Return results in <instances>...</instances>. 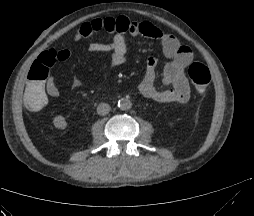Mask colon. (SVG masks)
I'll return each instance as SVG.
<instances>
[{
    "label": "colon",
    "mask_w": 254,
    "mask_h": 216,
    "mask_svg": "<svg viewBox=\"0 0 254 216\" xmlns=\"http://www.w3.org/2000/svg\"><path fill=\"white\" fill-rule=\"evenodd\" d=\"M58 62V51L44 52L30 67L28 81L20 92L24 108L30 113H39L46 106V97L43 89L50 69ZM189 78L200 94L204 93L211 81L209 68L200 62H193L188 68Z\"/></svg>",
    "instance_id": "1"
}]
</instances>
